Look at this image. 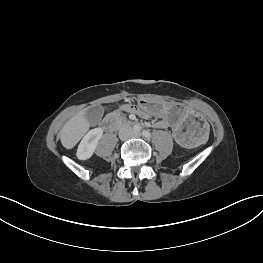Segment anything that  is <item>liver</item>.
Here are the masks:
<instances>
[{
    "mask_svg": "<svg viewBox=\"0 0 263 263\" xmlns=\"http://www.w3.org/2000/svg\"><path fill=\"white\" fill-rule=\"evenodd\" d=\"M87 110L88 109L81 110L63 126L60 138L62 145L66 149H72L89 130L90 123L86 118Z\"/></svg>",
    "mask_w": 263,
    "mask_h": 263,
    "instance_id": "1",
    "label": "liver"
}]
</instances>
